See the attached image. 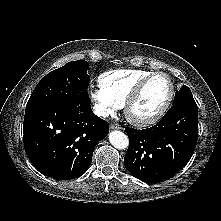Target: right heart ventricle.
Segmentation results:
<instances>
[{"instance_id":"right-heart-ventricle-1","label":"right heart ventricle","mask_w":221,"mask_h":221,"mask_svg":"<svg viewBox=\"0 0 221 221\" xmlns=\"http://www.w3.org/2000/svg\"><path fill=\"white\" fill-rule=\"evenodd\" d=\"M152 73L145 69H114L102 73L99 86L121 106L135 85L145 76Z\"/></svg>"}]
</instances>
